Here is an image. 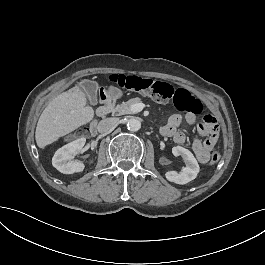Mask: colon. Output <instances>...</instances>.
<instances>
[{"label": "colon", "mask_w": 265, "mask_h": 265, "mask_svg": "<svg viewBox=\"0 0 265 265\" xmlns=\"http://www.w3.org/2000/svg\"><path fill=\"white\" fill-rule=\"evenodd\" d=\"M109 81L120 88L155 98L157 101L171 102L175 109L182 113L200 115L203 111V104L199 98L193 96L188 90L176 88L165 81L126 74H112ZM219 159L218 152L211 155L212 163H217Z\"/></svg>", "instance_id": "obj_1"}]
</instances>
